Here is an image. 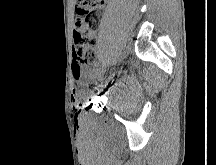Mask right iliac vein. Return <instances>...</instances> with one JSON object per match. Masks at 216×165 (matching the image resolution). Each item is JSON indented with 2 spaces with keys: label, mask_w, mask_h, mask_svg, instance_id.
<instances>
[{
  "label": "right iliac vein",
  "mask_w": 216,
  "mask_h": 165,
  "mask_svg": "<svg viewBox=\"0 0 216 165\" xmlns=\"http://www.w3.org/2000/svg\"><path fill=\"white\" fill-rule=\"evenodd\" d=\"M108 64L107 63H105V67L107 66ZM103 72H104V68H101V69H99V71L98 72H96V77H100L102 74H103Z\"/></svg>",
  "instance_id": "right-iliac-vein-1"
}]
</instances>
